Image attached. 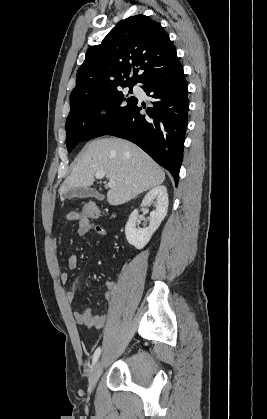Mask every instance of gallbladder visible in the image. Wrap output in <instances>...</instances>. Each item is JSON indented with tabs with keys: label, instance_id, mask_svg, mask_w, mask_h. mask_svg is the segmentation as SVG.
Listing matches in <instances>:
<instances>
[{
	"label": "gallbladder",
	"instance_id": "obj_1",
	"mask_svg": "<svg viewBox=\"0 0 267 419\" xmlns=\"http://www.w3.org/2000/svg\"><path fill=\"white\" fill-rule=\"evenodd\" d=\"M68 198H86L90 196H96L99 198H104L103 195L97 194V192L94 189L86 188V187H78V188H72L67 192L66 195Z\"/></svg>",
	"mask_w": 267,
	"mask_h": 419
}]
</instances>
